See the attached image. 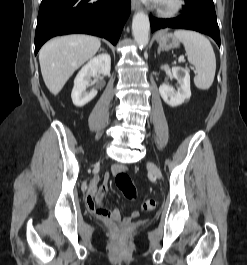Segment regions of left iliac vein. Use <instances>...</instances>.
Returning a JSON list of instances; mask_svg holds the SVG:
<instances>
[{
    "mask_svg": "<svg viewBox=\"0 0 247 265\" xmlns=\"http://www.w3.org/2000/svg\"><path fill=\"white\" fill-rule=\"evenodd\" d=\"M148 169H149V171H150L154 176H156L158 179L161 178V176H162L161 171H160V169L158 168V166L155 165L153 162H149V163H148Z\"/></svg>",
    "mask_w": 247,
    "mask_h": 265,
    "instance_id": "4c4485c4",
    "label": "left iliac vein"
}]
</instances>
